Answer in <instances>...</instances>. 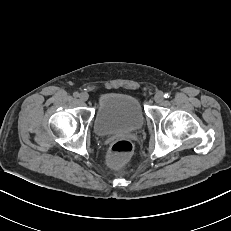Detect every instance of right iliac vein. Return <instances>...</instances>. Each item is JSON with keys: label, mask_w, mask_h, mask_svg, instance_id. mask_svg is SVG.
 <instances>
[{"label": "right iliac vein", "mask_w": 231, "mask_h": 231, "mask_svg": "<svg viewBox=\"0 0 231 231\" xmlns=\"http://www.w3.org/2000/svg\"><path fill=\"white\" fill-rule=\"evenodd\" d=\"M88 98H89V96H88V94L85 93V92H83V93H81V94L79 95V99H80L81 101H83V102L87 101Z\"/></svg>", "instance_id": "right-iliac-vein-1"}]
</instances>
